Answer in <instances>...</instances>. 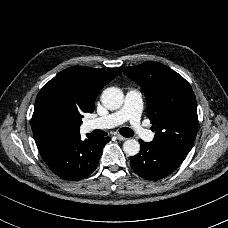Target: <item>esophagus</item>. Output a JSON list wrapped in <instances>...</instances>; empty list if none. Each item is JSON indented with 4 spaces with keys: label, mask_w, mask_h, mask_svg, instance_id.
<instances>
[{
    "label": "esophagus",
    "mask_w": 228,
    "mask_h": 228,
    "mask_svg": "<svg viewBox=\"0 0 228 228\" xmlns=\"http://www.w3.org/2000/svg\"><path fill=\"white\" fill-rule=\"evenodd\" d=\"M117 139L120 140V141H125L127 138L122 136V135H120V134H118L117 135Z\"/></svg>",
    "instance_id": "1"
}]
</instances>
